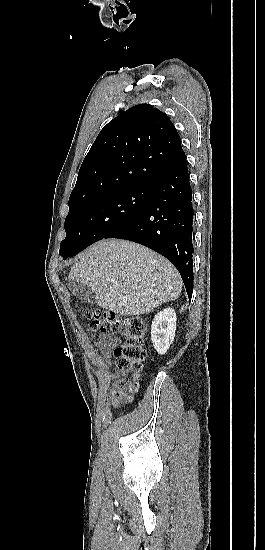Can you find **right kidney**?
<instances>
[{
    "label": "right kidney",
    "mask_w": 265,
    "mask_h": 550,
    "mask_svg": "<svg viewBox=\"0 0 265 550\" xmlns=\"http://www.w3.org/2000/svg\"><path fill=\"white\" fill-rule=\"evenodd\" d=\"M176 313L167 308L155 315L151 326V340L159 354H165L175 337Z\"/></svg>",
    "instance_id": "1"
}]
</instances>
